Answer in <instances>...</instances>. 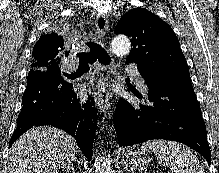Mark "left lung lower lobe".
Here are the masks:
<instances>
[{
	"label": "left lung lower lobe",
	"instance_id": "1",
	"mask_svg": "<svg viewBox=\"0 0 219 173\" xmlns=\"http://www.w3.org/2000/svg\"><path fill=\"white\" fill-rule=\"evenodd\" d=\"M138 69L149 88L151 104H131L123 98L118 101L114 127L119 147L152 139L178 141L202 154L210 165L206 126L192 83L161 86V76L153 69Z\"/></svg>",
	"mask_w": 219,
	"mask_h": 173
}]
</instances>
